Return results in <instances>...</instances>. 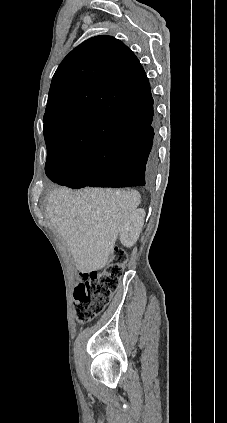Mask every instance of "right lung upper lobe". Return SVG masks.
Returning a JSON list of instances; mask_svg holds the SVG:
<instances>
[{"label":"right lung upper lobe","instance_id":"1","mask_svg":"<svg viewBox=\"0 0 227 423\" xmlns=\"http://www.w3.org/2000/svg\"><path fill=\"white\" fill-rule=\"evenodd\" d=\"M150 93L140 62L125 44L111 36L90 38L64 58L53 76L43 119L45 141L85 152L122 137L131 122L109 119L100 108Z\"/></svg>","mask_w":227,"mask_h":423}]
</instances>
